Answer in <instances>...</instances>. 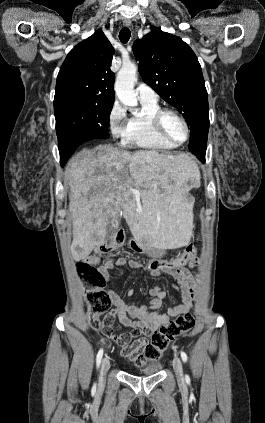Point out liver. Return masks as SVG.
I'll use <instances>...</instances> for the list:
<instances>
[{"label":"liver","mask_w":265,"mask_h":423,"mask_svg":"<svg viewBox=\"0 0 265 423\" xmlns=\"http://www.w3.org/2000/svg\"><path fill=\"white\" fill-rule=\"evenodd\" d=\"M65 176L70 187L75 261L86 259L104 243L109 218L120 213L138 243L164 250L190 242L193 204L187 196L193 185L187 183L200 181L193 157L155 150L131 154L105 144L73 156Z\"/></svg>","instance_id":"obj_1"}]
</instances>
